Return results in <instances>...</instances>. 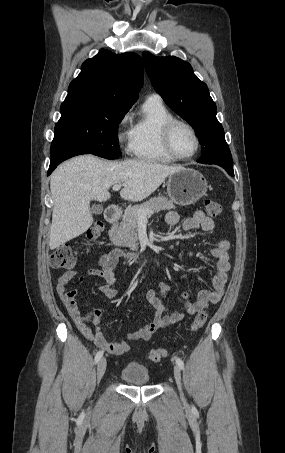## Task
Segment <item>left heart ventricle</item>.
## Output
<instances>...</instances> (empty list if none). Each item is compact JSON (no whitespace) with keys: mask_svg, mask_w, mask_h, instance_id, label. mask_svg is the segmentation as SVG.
Masks as SVG:
<instances>
[{"mask_svg":"<svg viewBox=\"0 0 285 453\" xmlns=\"http://www.w3.org/2000/svg\"><path fill=\"white\" fill-rule=\"evenodd\" d=\"M172 144L174 149L181 155L187 156L195 150V140L190 130L178 125L172 135Z\"/></svg>","mask_w":285,"mask_h":453,"instance_id":"obj_1","label":"left heart ventricle"}]
</instances>
